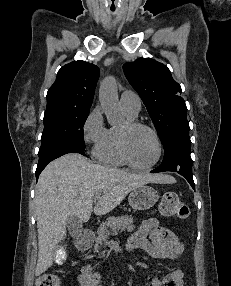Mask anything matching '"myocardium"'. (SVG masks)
<instances>
[{"label": "myocardium", "mask_w": 231, "mask_h": 286, "mask_svg": "<svg viewBox=\"0 0 231 286\" xmlns=\"http://www.w3.org/2000/svg\"><path fill=\"white\" fill-rule=\"evenodd\" d=\"M136 129H145L149 131L153 135L156 145H157L156 158L154 159L153 162L145 166H140L136 164L131 158L129 151H128V143H127L128 135L130 132ZM118 146H119L120 154L122 158L124 159V161L126 162V164H128L130 167L138 171H147V170L152 169L160 161L162 154H163V144H162L161 138L159 134L157 133V131L151 126L145 123L136 121V120H128L125 123V126L119 129Z\"/></svg>", "instance_id": "f54148a6"}]
</instances>
